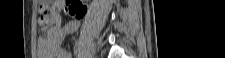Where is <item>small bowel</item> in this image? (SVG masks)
Instances as JSON below:
<instances>
[{
    "label": "small bowel",
    "mask_w": 225,
    "mask_h": 58,
    "mask_svg": "<svg viewBox=\"0 0 225 58\" xmlns=\"http://www.w3.org/2000/svg\"><path fill=\"white\" fill-rule=\"evenodd\" d=\"M62 1L55 2L42 26L37 43L38 58H72V55L62 49L63 40L77 31L79 22L71 20L62 23L61 12L64 9Z\"/></svg>",
    "instance_id": "small-bowel-1"
}]
</instances>
